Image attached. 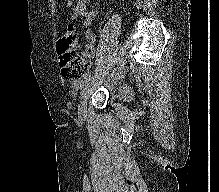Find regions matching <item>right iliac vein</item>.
<instances>
[{
    "label": "right iliac vein",
    "mask_w": 219,
    "mask_h": 192,
    "mask_svg": "<svg viewBox=\"0 0 219 192\" xmlns=\"http://www.w3.org/2000/svg\"><path fill=\"white\" fill-rule=\"evenodd\" d=\"M89 86V82L85 83L81 89L80 103L78 106V115L79 118L84 119L86 117V108H87V95L86 91Z\"/></svg>",
    "instance_id": "right-iliac-vein-1"
}]
</instances>
